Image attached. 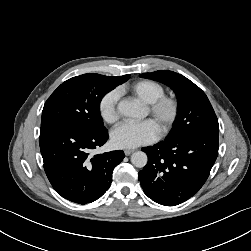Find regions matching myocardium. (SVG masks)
<instances>
[{"label":"myocardium","instance_id":"myocardium-1","mask_svg":"<svg viewBox=\"0 0 251 251\" xmlns=\"http://www.w3.org/2000/svg\"><path fill=\"white\" fill-rule=\"evenodd\" d=\"M147 112L159 121V133L166 134L172 128L179 114V103L176 98L162 95L147 104Z\"/></svg>","mask_w":251,"mask_h":251}]
</instances>
